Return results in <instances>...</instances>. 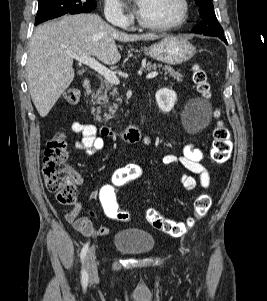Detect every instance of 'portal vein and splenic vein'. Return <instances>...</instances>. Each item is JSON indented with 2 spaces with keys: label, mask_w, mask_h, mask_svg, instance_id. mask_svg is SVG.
<instances>
[{
  "label": "portal vein and splenic vein",
  "mask_w": 267,
  "mask_h": 301,
  "mask_svg": "<svg viewBox=\"0 0 267 301\" xmlns=\"http://www.w3.org/2000/svg\"><path fill=\"white\" fill-rule=\"evenodd\" d=\"M69 56L76 59L79 63L85 64L89 66L91 69L97 71L99 74H101L108 82L118 85L120 83L118 77L116 74L108 69L107 67L100 64L98 61L95 60V58L90 56H79L74 53H69ZM158 75L157 71H151L146 75L147 79L154 78Z\"/></svg>",
  "instance_id": "portal-vein-and-splenic-vein-1"
}]
</instances>
